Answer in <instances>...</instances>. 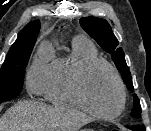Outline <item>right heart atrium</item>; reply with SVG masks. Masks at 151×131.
Wrapping results in <instances>:
<instances>
[{"label": "right heart atrium", "instance_id": "right-heart-atrium-1", "mask_svg": "<svg viewBox=\"0 0 151 131\" xmlns=\"http://www.w3.org/2000/svg\"><path fill=\"white\" fill-rule=\"evenodd\" d=\"M50 62L46 57H36L28 69L26 83L33 94H42L49 73Z\"/></svg>", "mask_w": 151, "mask_h": 131}]
</instances>
